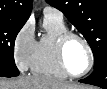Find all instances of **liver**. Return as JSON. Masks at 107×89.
<instances>
[{
  "label": "liver",
  "instance_id": "obj_1",
  "mask_svg": "<svg viewBox=\"0 0 107 89\" xmlns=\"http://www.w3.org/2000/svg\"><path fill=\"white\" fill-rule=\"evenodd\" d=\"M88 88L75 84L66 83L57 79L35 75V76H20L16 79L0 81V89H74Z\"/></svg>",
  "mask_w": 107,
  "mask_h": 89
}]
</instances>
